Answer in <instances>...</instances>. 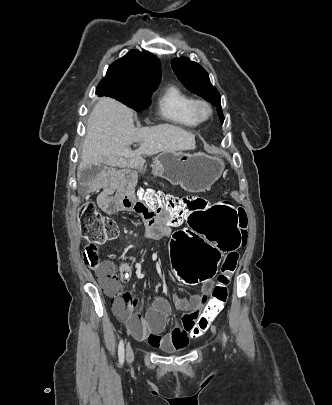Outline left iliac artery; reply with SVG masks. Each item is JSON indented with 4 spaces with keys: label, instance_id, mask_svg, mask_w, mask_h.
Segmentation results:
<instances>
[{
    "label": "left iliac artery",
    "instance_id": "44dca946",
    "mask_svg": "<svg viewBox=\"0 0 332 405\" xmlns=\"http://www.w3.org/2000/svg\"><path fill=\"white\" fill-rule=\"evenodd\" d=\"M223 339H224V342H226V341H227V336H226V334H225V333H223Z\"/></svg>",
    "mask_w": 332,
    "mask_h": 405
}]
</instances>
